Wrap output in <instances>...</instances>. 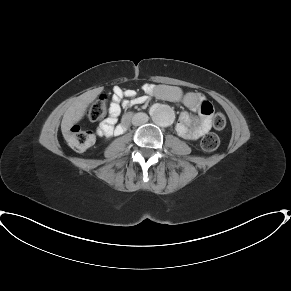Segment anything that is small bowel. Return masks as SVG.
I'll return each mask as SVG.
<instances>
[{
	"label": "small bowel",
	"mask_w": 291,
	"mask_h": 291,
	"mask_svg": "<svg viewBox=\"0 0 291 291\" xmlns=\"http://www.w3.org/2000/svg\"><path fill=\"white\" fill-rule=\"evenodd\" d=\"M146 95L155 96L169 102H181L185 107L195 113L192 117L188 112H182L175 124L176 132L186 140H197L208 133L212 126L211 117L205 113L210 106L202 93L183 91L174 85H149L143 86ZM144 97L131 89L114 87L109 108V117L97 128V133L101 136L119 135L123 133V122L117 125L118 117L122 107H130L142 103Z\"/></svg>",
	"instance_id": "c3829d8e"
}]
</instances>
